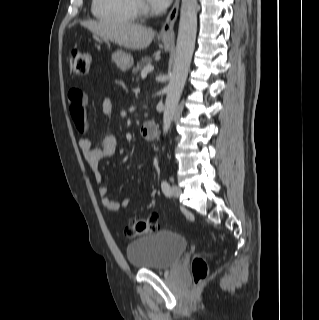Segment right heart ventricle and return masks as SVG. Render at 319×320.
Returning <instances> with one entry per match:
<instances>
[{
  "label": "right heart ventricle",
  "mask_w": 319,
  "mask_h": 320,
  "mask_svg": "<svg viewBox=\"0 0 319 320\" xmlns=\"http://www.w3.org/2000/svg\"><path fill=\"white\" fill-rule=\"evenodd\" d=\"M92 14L105 22L129 24L137 18L134 0H92Z\"/></svg>",
  "instance_id": "right-heart-ventricle-1"
}]
</instances>
